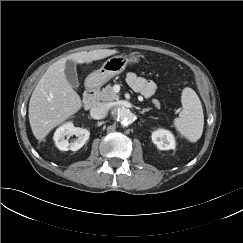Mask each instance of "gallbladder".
I'll return each mask as SVG.
<instances>
[{
	"label": "gallbladder",
	"mask_w": 243,
	"mask_h": 243,
	"mask_svg": "<svg viewBox=\"0 0 243 243\" xmlns=\"http://www.w3.org/2000/svg\"><path fill=\"white\" fill-rule=\"evenodd\" d=\"M64 72H65V76H66L68 82L70 83V85L73 88L78 89L79 81H78V76H77V72H76L75 62L72 60H67L66 64H65Z\"/></svg>",
	"instance_id": "gallbladder-1"
}]
</instances>
